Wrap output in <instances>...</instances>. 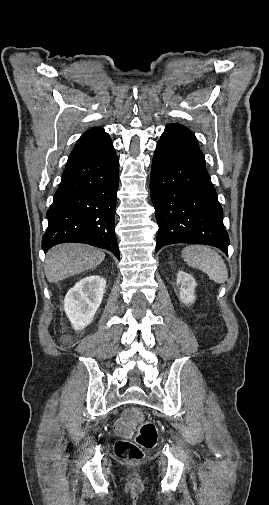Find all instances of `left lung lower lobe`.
<instances>
[{"label":"left lung lower lobe","instance_id":"1","mask_svg":"<svg viewBox=\"0 0 269 505\" xmlns=\"http://www.w3.org/2000/svg\"><path fill=\"white\" fill-rule=\"evenodd\" d=\"M150 194L159 226L156 251L174 243L206 244L227 255L223 212L195 135L166 126L154 153Z\"/></svg>","mask_w":269,"mask_h":505}]
</instances>
